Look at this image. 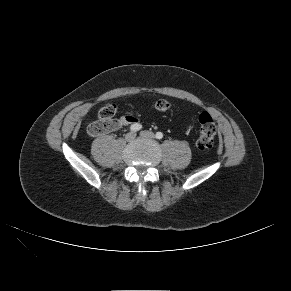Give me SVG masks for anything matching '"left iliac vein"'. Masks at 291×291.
I'll list each match as a JSON object with an SVG mask.
<instances>
[{
    "label": "left iliac vein",
    "instance_id": "obj_1",
    "mask_svg": "<svg viewBox=\"0 0 291 291\" xmlns=\"http://www.w3.org/2000/svg\"><path fill=\"white\" fill-rule=\"evenodd\" d=\"M140 136L144 138H150V139H153L155 137V135L150 131H141Z\"/></svg>",
    "mask_w": 291,
    "mask_h": 291
}]
</instances>
